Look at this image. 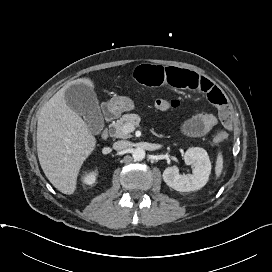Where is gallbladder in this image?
Returning <instances> with one entry per match:
<instances>
[{"label": "gallbladder", "instance_id": "bac80fb5", "mask_svg": "<svg viewBox=\"0 0 272 272\" xmlns=\"http://www.w3.org/2000/svg\"><path fill=\"white\" fill-rule=\"evenodd\" d=\"M65 101L68 107L81 115L89 131L99 134L104 126L97 96L94 90L84 83H75L65 90Z\"/></svg>", "mask_w": 272, "mask_h": 272}]
</instances>
